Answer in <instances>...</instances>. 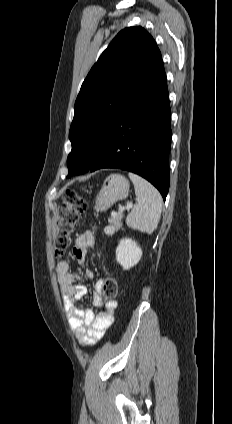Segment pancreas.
I'll use <instances>...</instances> for the list:
<instances>
[{"label":"pancreas","mask_w":232,"mask_h":424,"mask_svg":"<svg viewBox=\"0 0 232 424\" xmlns=\"http://www.w3.org/2000/svg\"><path fill=\"white\" fill-rule=\"evenodd\" d=\"M122 218L123 214L118 212L109 220L110 227L113 231H118L122 227Z\"/></svg>","instance_id":"cf45deb5"}]
</instances>
